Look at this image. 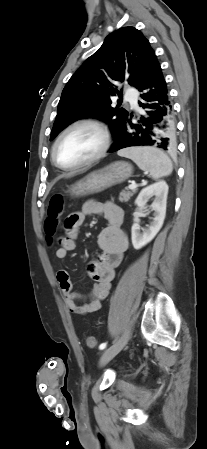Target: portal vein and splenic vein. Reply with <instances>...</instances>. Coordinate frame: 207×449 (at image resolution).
<instances>
[{"instance_id": "18ae733b", "label": "portal vein and splenic vein", "mask_w": 207, "mask_h": 449, "mask_svg": "<svg viewBox=\"0 0 207 449\" xmlns=\"http://www.w3.org/2000/svg\"><path fill=\"white\" fill-rule=\"evenodd\" d=\"M138 187V185L136 183H132L129 185V189L134 190Z\"/></svg>"}]
</instances>
